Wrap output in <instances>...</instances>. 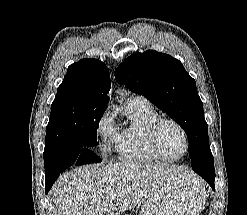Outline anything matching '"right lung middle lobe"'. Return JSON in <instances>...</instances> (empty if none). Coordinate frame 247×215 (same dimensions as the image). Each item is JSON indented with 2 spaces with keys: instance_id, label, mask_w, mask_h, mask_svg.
Segmentation results:
<instances>
[{
  "instance_id": "1",
  "label": "right lung middle lobe",
  "mask_w": 247,
  "mask_h": 215,
  "mask_svg": "<svg viewBox=\"0 0 247 215\" xmlns=\"http://www.w3.org/2000/svg\"><path fill=\"white\" fill-rule=\"evenodd\" d=\"M106 107L85 101L71 91L57 92L46 127L44 156L65 144L80 148L98 145L97 128Z\"/></svg>"
}]
</instances>
